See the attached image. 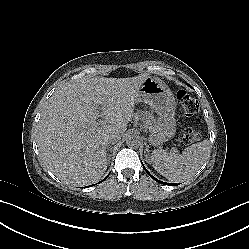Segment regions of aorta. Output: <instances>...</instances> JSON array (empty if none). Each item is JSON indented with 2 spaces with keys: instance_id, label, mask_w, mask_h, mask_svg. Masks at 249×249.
Listing matches in <instances>:
<instances>
[{
  "instance_id": "1",
  "label": "aorta",
  "mask_w": 249,
  "mask_h": 249,
  "mask_svg": "<svg viewBox=\"0 0 249 249\" xmlns=\"http://www.w3.org/2000/svg\"><path fill=\"white\" fill-rule=\"evenodd\" d=\"M140 144V139L138 136L136 135H129L127 138H126V145L128 147H137L139 146Z\"/></svg>"
}]
</instances>
